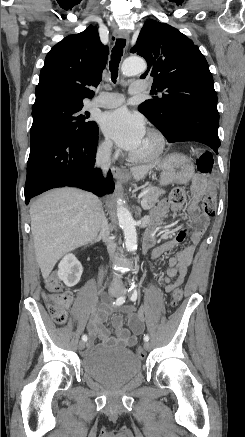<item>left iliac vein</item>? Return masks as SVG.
I'll return each mask as SVG.
<instances>
[{
  "label": "left iliac vein",
  "instance_id": "4c4485c4",
  "mask_svg": "<svg viewBox=\"0 0 245 437\" xmlns=\"http://www.w3.org/2000/svg\"><path fill=\"white\" fill-rule=\"evenodd\" d=\"M122 294H126V291H125V290L122 291ZM144 348H145L146 350H149V349L151 348V344H150L148 341H146V342L144 343Z\"/></svg>",
  "mask_w": 245,
  "mask_h": 437
}]
</instances>
